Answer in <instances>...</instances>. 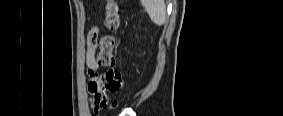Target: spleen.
I'll use <instances>...</instances> for the list:
<instances>
[{
    "instance_id": "obj_1",
    "label": "spleen",
    "mask_w": 283,
    "mask_h": 116,
    "mask_svg": "<svg viewBox=\"0 0 283 116\" xmlns=\"http://www.w3.org/2000/svg\"><path fill=\"white\" fill-rule=\"evenodd\" d=\"M151 21L157 26H161L166 20V6L163 0H142Z\"/></svg>"
}]
</instances>
